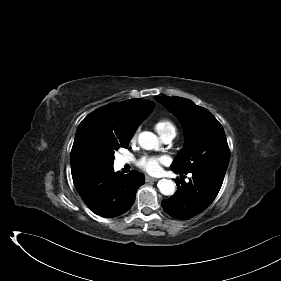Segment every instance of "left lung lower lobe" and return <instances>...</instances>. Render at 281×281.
Masks as SVG:
<instances>
[{"label": "left lung lower lobe", "instance_id": "0a47b994", "mask_svg": "<svg viewBox=\"0 0 281 281\" xmlns=\"http://www.w3.org/2000/svg\"><path fill=\"white\" fill-rule=\"evenodd\" d=\"M179 173L182 171L173 170ZM192 178L189 182L176 180L177 192L169 199L162 201L166 213L176 219H190L205 210L216 198L226 171L219 169H205L199 172H190Z\"/></svg>", "mask_w": 281, "mask_h": 281}]
</instances>
